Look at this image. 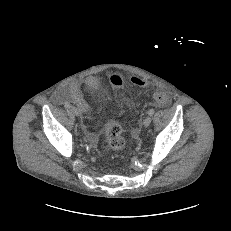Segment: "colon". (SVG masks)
Segmentation results:
<instances>
[{
	"mask_svg": "<svg viewBox=\"0 0 231 231\" xmlns=\"http://www.w3.org/2000/svg\"><path fill=\"white\" fill-rule=\"evenodd\" d=\"M110 83L114 88L122 87L124 76L121 73H113L110 75ZM131 82L137 86L145 85V82L136 76L131 78ZM154 99L161 105L168 101V97L164 92H156ZM105 134L108 140V145L113 152H120L125 146V138L122 135V128L118 122L113 119H108L105 124Z\"/></svg>",
	"mask_w": 231,
	"mask_h": 231,
	"instance_id": "1",
	"label": "colon"
}]
</instances>
